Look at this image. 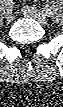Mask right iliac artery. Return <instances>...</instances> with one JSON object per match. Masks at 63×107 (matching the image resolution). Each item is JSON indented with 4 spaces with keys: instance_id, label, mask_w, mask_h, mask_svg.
<instances>
[{
    "instance_id": "obj_1",
    "label": "right iliac artery",
    "mask_w": 63,
    "mask_h": 107,
    "mask_svg": "<svg viewBox=\"0 0 63 107\" xmlns=\"http://www.w3.org/2000/svg\"><path fill=\"white\" fill-rule=\"evenodd\" d=\"M4 3L8 7V10L12 9V1L11 0H4Z\"/></svg>"
}]
</instances>
